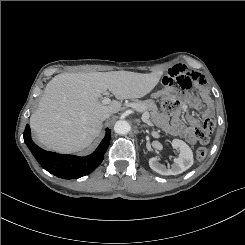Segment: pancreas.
Segmentation results:
<instances>
[{"label":"pancreas","mask_w":245,"mask_h":245,"mask_svg":"<svg viewBox=\"0 0 245 245\" xmlns=\"http://www.w3.org/2000/svg\"><path fill=\"white\" fill-rule=\"evenodd\" d=\"M131 104H133L136 107V110L140 113H150L151 118H153L158 111L157 106L152 100L135 101L134 103L128 104V106H130Z\"/></svg>","instance_id":"obj_1"}]
</instances>
